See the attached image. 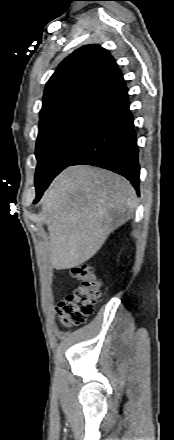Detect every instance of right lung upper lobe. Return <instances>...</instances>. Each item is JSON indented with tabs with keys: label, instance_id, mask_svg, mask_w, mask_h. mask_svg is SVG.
<instances>
[{
	"label": "right lung upper lobe",
	"instance_id": "1",
	"mask_svg": "<svg viewBox=\"0 0 174 440\" xmlns=\"http://www.w3.org/2000/svg\"><path fill=\"white\" fill-rule=\"evenodd\" d=\"M122 79L107 50L96 44L83 46L65 58L47 82L40 119L80 98L99 95Z\"/></svg>",
	"mask_w": 174,
	"mask_h": 440
}]
</instances>
